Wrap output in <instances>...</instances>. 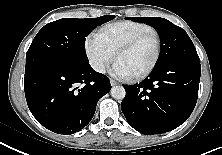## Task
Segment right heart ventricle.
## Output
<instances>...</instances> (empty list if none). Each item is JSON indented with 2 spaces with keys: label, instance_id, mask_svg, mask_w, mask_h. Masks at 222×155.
I'll return each mask as SVG.
<instances>
[{
  "label": "right heart ventricle",
  "instance_id": "1",
  "mask_svg": "<svg viewBox=\"0 0 222 155\" xmlns=\"http://www.w3.org/2000/svg\"><path fill=\"white\" fill-rule=\"evenodd\" d=\"M155 30L153 26L138 21H120L104 26L99 34L107 45L117 49L141 33Z\"/></svg>",
  "mask_w": 222,
  "mask_h": 155
}]
</instances>
